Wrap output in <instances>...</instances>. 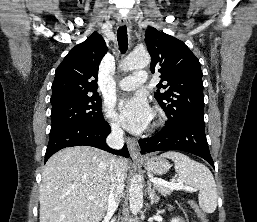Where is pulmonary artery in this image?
Returning a JSON list of instances; mask_svg holds the SVG:
<instances>
[{
  "mask_svg": "<svg viewBox=\"0 0 257 222\" xmlns=\"http://www.w3.org/2000/svg\"><path fill=\"white\" fill-rule=\"evenodd\" d=\"M146 80H147L146 72L140 71V72L135 73L132 76L123 78L119 82L118 86L121 90L130 91V90H134L138 86L145 83Z\"/></svg>",
  "mask_w": 257,
  "mask_h": 222,
  "instance_id": "1",
  "label": "pulmonary artery"
}]
</instances>
